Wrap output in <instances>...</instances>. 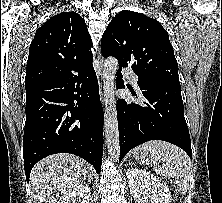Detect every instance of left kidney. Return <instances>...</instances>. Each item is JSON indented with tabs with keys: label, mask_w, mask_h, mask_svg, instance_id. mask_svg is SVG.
Returning a JSON list of instances; mask_svg holds the SVG:
<instances>
[{
	"label": "left kidney",
	"mask_w": 222,
	"mask_h": 203,
	"mask_svg": "<svg viewBox=\"0 0 222 203\" xmlns=\"http://www.w3.org/2000/svg\"><path fill=\"white\" fill-rule=\"evenodd\" d=\"M126 176L135 203H172L169 188L161 178L138 168H129Z\"/></svg>",
	"instance_id": "1"
}]
</instances>
